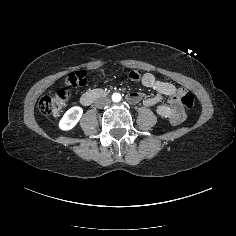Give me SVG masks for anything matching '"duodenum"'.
<instances>
[{"label": "duodenum", "mask_w": 236, "mask_h": 236, "mask_svg": "<svg viewBox=\"0 0 236 236\" xmlns=\"http://www.w3.org/2000/svg\"><path fill=\"white\" fill-rule=\"evenodd\" d=\"M104 96L105 92L102 90H91L85 92L81 96L80 102L83 105H89L95 100ZM142 99L143 97L137 93H131L128 95V100L132 103H137ZM144 103L149 106H155L158 114L169 119L172 122H180L183 119L184 111L177 96H173L167 104H160L158 98L144 99Z\"/></svg>", "instance_id": "1"}]
</instances>
